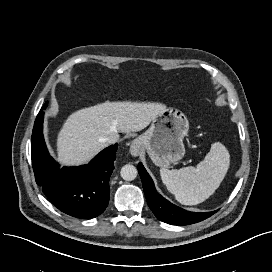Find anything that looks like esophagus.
Here are the masks:
<instances>
[{
    "label": "esophagus",
    "instance_id": "obj_1",
    "mask_svg": "<svg viewBox=\"0 0 272 272\" xmlns=\"http://www.w3.org/2000/svg\"><path fill=\"white\" fill-rule=\"evenodd\" d=\"M130 153L133 156H138L140 153V145L137 140H134L130 146Z\"/></svg>",
    "mask_w": 272,
    "mask_h": 272
}]
</instances>
